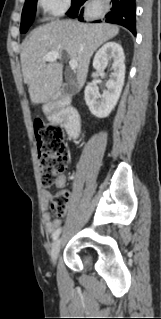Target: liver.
Wrapping results in <instances>:
<instances>
[{
	"instance_id": "6515ba94",
	"label": "liver",
	"mask_w": 161,
	"mask_h": 319,
	"mask_svg": "<svg viewBox=\"0 0 161 319\" xmlns=\"http://www.w3.org/2000/svg\"><path fill=\"white\" fill-rule=\"evenodd\" d=\"M118 33L119 28L108 23L84 24L70 20L52 21L35 29L20 54L31 103L48 102L62 86L63 65L56 61L46 64L43 57L48 52H66L71 60L78 62L77 83L81 89L87 78L91 56Z\"/></svg>"
}]
</instances>
